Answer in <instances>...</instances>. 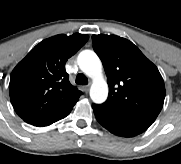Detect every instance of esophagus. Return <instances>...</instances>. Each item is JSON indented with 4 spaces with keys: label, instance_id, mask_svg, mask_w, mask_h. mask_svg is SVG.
Wrapping results in <instances>:
<instances>
[{
    "label": "esophagus",
    "instance_id": "esophagus-1",
    "mask_svg": "<svg viewBox=\"0 0 181 164\" xmlns=\"http://www.w3.org/2000/svg\"><path fill=\"white\" fill-rule=\"evenodd\" d=\"M83 89H84L85 93H87L89 91V85L83 86Z\"/></svg>",
    "mask_w": 181,
    "mask_h": 164
}]
</instances>
